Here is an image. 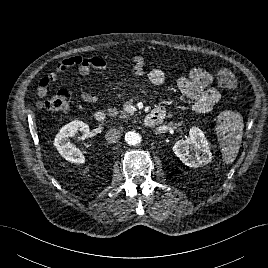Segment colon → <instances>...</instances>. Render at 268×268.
Here are the masks:
<instances>
[{
    "instance_id": "obj_1",
    "label": "colon",
    "mask_w": 268,
    "mask_h": 268,
    "mask_svg": "<svg viewBox=\"0 0 268 268\" xmlns=\"http://www.w3.org/2000/svg\"><path fill=\"white\" fill-rule=\"evenodd\" d=\"M217 81L221 87L227 90H234L238 86V80L235 73L228 68H220L217 71ZM43 92V88L40 87ZM70 104V94L66 90H59L54 95L47 96V92L37 103L41 111L58 112L67 110Z\"/></svg>"
}]
</instances>
